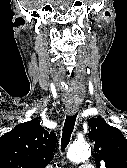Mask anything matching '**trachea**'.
<instances>
[{"instance_id":"trachea-1","label":"trachea","mask_w":127,"mask_h":168,"mask_svg":"<svg viewBox=\"0 0 127 168\" xmlns=\"http://www.w3.org/2000/svg\"><path fill=\"white\" fill-rule=\"evenodd\" d=\"M77 114L78 113L66 116L64 126H63V129H62V139H61V150H62V152L65 150V148L68 145L69 140L71 138V134L74 130Z\"/></svg>"}]
</instances>
